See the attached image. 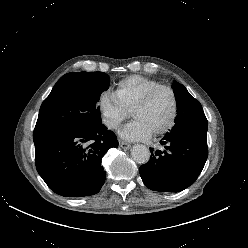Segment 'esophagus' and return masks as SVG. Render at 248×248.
I'll use <instances>...</instances> for the list:
<instances>
[{"instance_id":"34e87169","label":"esophagus","mask_w":248,"mask_h":248,"mask_svg":"<svg viewBox=\"0 0 248 248\" xmlns=\"http://www.w3.org/2000/svg\"><path fill=\"white\" fill-rule=\"evenodd\" d=\"M119 146L125 150L129 149L130 148V144L127 143V142H124V141H120L119 142Z\"/></svg>"}]
</instances>
